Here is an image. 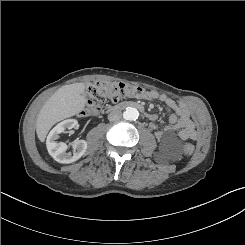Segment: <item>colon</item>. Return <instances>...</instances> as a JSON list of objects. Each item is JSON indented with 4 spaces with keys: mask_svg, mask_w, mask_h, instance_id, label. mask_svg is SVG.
I'll use <instances>...</instances> for the list:
<instances>
[{
    "mask_svg": "<svg viewBox=\"0 0 245 245\" xmlns=\"http://www.w3.org/2000/svg\"><path fill=\"white\" fill-rule=\"evenodd\" d=\"M145 94L143 88L123 82H95L87 88V102L83 113L85 115H95L100 112L102 105L106 102L116 103L123 98L141 97ZM194 150L193 144L185 143L182 152L184 156H191Z\"/></svg>",
    "mask_w": 245,
    "mask_h": 245,
    "instance_id": "colon-1",
    "label": "colon"
}]
</instances>
